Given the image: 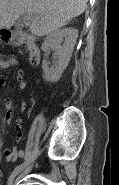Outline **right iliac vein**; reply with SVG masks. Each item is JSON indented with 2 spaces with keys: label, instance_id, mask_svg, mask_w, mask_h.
I'll use <instances>...</instances> for the list:
<instances>
[{
  "label": "right iliac vein",
  "instance_id": "right-iliac-vein-1",
  "mask_svg": "<svg viewBox=\"0 0 119 185\" xmlns=\"http://www.w3.org/2000/svg\"><path fill=\"white\" fill-rule=\"evenodd\" d=\"M14 183V178L8 183V185H13Z\"/></svg>",
  "mask_w": 119,
  "mask_h": 185
}]
</instances>
